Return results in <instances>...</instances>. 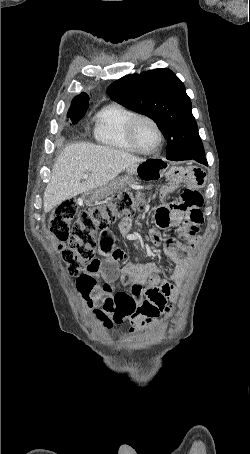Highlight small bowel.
Returning <instances> with one entry per match:
<instances>
[{
	"instance_id": "small-bowel-1",
	"label": "small bowel",
	"mask_w": 250,
	"mask_h": 454,
	"mask_svg": "<svg viewBox=\"0 0 250 454\" xmlns=\"http://www.w3.org/2000/svg\"><path fill=\"white\" fill-rule=\"evenodd\" d=\"M203 184V172L189 170L181 171L160 187L162 195L184 187L179 199L160 205L154 216L159 229L177 226L180 241L170 238L163 242L157 230L150 232L153 245L162 244L165 255L174 263L168 273L154 263H130L120 269L126 257L124 251L115 247L108 230L101 232L98 249L102 258H94L76 280L86 306L101 308L116 323L128 320L133 326L131 334L152 327L162 314L171 312L168 301L175 299L188 267L187 256L199 242L198 232L203 223L199 189ZM120 229L129 233L128 218L121 221Z\"/></svg>"
}]
</instances>
